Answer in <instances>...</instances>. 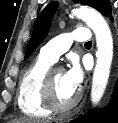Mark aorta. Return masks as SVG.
Listing matches in <instances>:
<instances>
[{
	"label": "aorta",
	"mask_w": 118,
	"mask_h": 123,
	"mask_svg": "<svg viewBox=\"0 0 118 123\" xmlns=\"http://www.w3.org/2000/svg\"><path fill=\"white\" fill-rule=\"evenodd\" d=\"M76 16L86 22L96 37L97 60L93 73L91 102L97 105L104 95L113 58V39L110 28L104 17L95 9L81 6L72 10Z\"/></svg>",
	"instance_id": "762f6f07"
}]
</instances>
